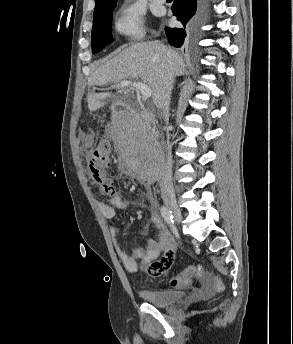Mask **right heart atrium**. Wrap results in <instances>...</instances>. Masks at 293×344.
Returning a JSON list of instances; mask_svg holds the SVG:
<instances>
[{
    "label": "right heart atrium",
    "instance_id": "1",
    "mask_svg": "<svg viewBox=\"0 0 293 344\" xmlns=\"http://www.w3.org/2000/svg\"><path fill=\"white\" fill-rule=\"evenodd\" d=\"M114 32L130 43L141 42L147 34L142 13L134 6H123L119 8L112 19Z\"/></svg>",
    "mask_w": 293,
    "mask_h": 344
}]
</instances>
